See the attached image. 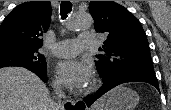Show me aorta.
<instances>
[{"label": "aorta", "mask_w": 171, "mask_h": 110, "mask_svg": "<svg viewBox=\"0 0 171 110\" xmlns=\"http://www.w3.org/2000/svg\"><path fill=\"white\" fill-rule=\"evenodd\" d=\"M92 25V17L89 14L74 13L67 26L72 31H80Z\"/></svg>", "instance_id": "762f6f07"}]
</instances>
